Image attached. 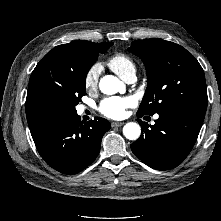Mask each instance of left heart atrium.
<instances>
[{"instance_id":"left-heart-atrium-1","label":"left heart atrium","mask_w":221,"mask_h":221,"mask_svg":"<svg viewBox=\"0 0 221 221\" xmlns=\"http://www.w3.org/2000/svg\"><path fill=\"white\" fill-rule=\"evenodd\" d=\"M135 104L132 97H108L98 107L101 114L108 118L119 119L125 116L126 109Z\"/></svg>"}]
</instances>
